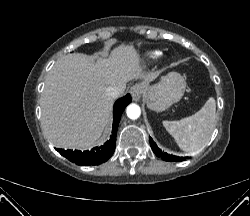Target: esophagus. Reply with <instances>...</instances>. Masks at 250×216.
I'll use <instances>...</instances> for the list:
<instances>
[{"label":"esophagus","mask_w":250,"mask_h":216,"mask_svg":"<svg viewBox=\"0 0 250 216\" xmlns=\"http://www.w3.org/2000/svg\"><path fill=\"white\" fill-rule=\"evenodd\" d=\"M142 92H143V87L140 84H134L130 88V93L134 101H138L140 99Z\"/></svg>","instance_id":"34e87169"}]
</instances>
